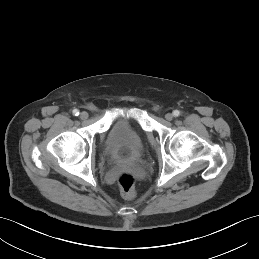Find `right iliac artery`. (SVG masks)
I'll use <instances>...</instances> for the list:
<instances>
[{"instance_id": "82829eb1", "label": "right iliac artery", "mask_w": 259, "mask_h": 259, "mask_svg": "<svg viewBox=\"0 0 259 259\" xmlns=\"http://www.w3.org/2000/svg\"><path fill=\"white\" fill-rule=\"evenodd\" d=\"M73 114H74L75 116H78V115H79V111H78L77 109H74V110H73Z\"/></svg>"}]
</instances>
